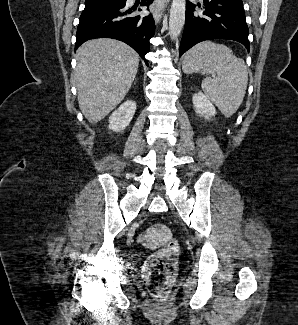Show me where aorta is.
I'll list each match as a JSON object with an SVG mask.
<instances>
[{"label": "aorta", "mask_w": 298, "mask_h": 325, "mask_svg": "<svg viewBox=\"0 0 298 325\" xmlns=\"http://www.w3.org/2000/svg\"><path fill=\"white\" fill-rule=\"evenodd\" d=\"M186 18V0H172L169 14V36L175 40L182 32Z\"/></svg>", "instance_id": "762f6f07"}]
</instances>
